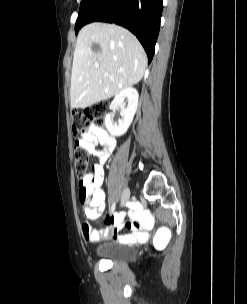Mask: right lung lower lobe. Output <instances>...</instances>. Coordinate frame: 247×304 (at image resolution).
Segmentation results:
<instances>
[{
  "instance_id": "1",
  "label": "right lung lower lobe",
  "mask_w": 247,
  "mask_h": 304,
  "mask_svg": "<svg viewBox=\"0 0 247 304\" xmlns=\"http://www.w3.org/2000/svg\"><path fill=\"white\" fill-rule=\"evenodd\" d=\"M163 0H103L82 22L100 21L121 25L144 47L151 62L160 29Z\"/></svg>"
}]
</instances>
